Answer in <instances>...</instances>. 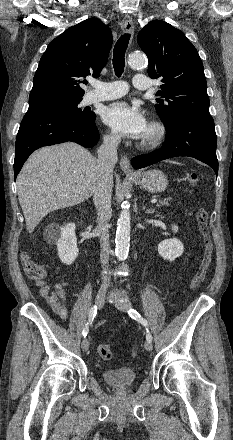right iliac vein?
Masks as SVG:
<instances>
[{"label": "right iliac vein", "mask_w": 233, "mask_h": 440, "mask_svg": "<svg viewBox=\"0 0 233 440\" xmlns=\"http://www.w3.org/2000/svg\"><path fill=\"white\" fill-rule=\"evenodd\" d=\"M106 289L107 288L105 286H102L99 289V291H98V293L96 295L95 304L98 306V308H101L103 306V304H104L105 296H106ZM81 347H82V350L84 352L88 351V349H89V340L87 338L83 339V341L81 343Z\"/></svg>", "instance_id": "obj_1"}]
</instances>
